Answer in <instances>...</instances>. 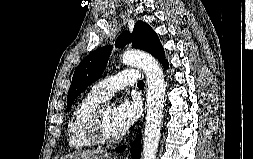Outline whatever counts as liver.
<instances>
[{
  "label": "liver",
  "instance_id": "6515ba94",
  "mask_svg": "<svg viewBox=\"0 0 253 159\" xmlns=\"http://www.w3.org/2000/svg\"><path fill=\"white\" fill-rule=\"evenodd\" d=\"M112 157V154L104 153L101 150H83L64 156L61 159H112Z\"/></svg>",
  "mask_w": 253,
  "mask_h": 159
}]
</instances>
